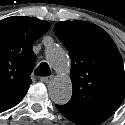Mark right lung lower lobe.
Segmentation results:
<instances>
[{
	"instance_id": "right-lung-lower-lobe-1",
	"label": "right lung lower lobe",
	"mask_w": 125,
	"mask_h": 125,
	"mask_svg": "<svg viewBox=\"0 0 125 125\" xmlns=\"http://www.w3.org/2000/svg\"><path fill=\"white\" fill-rule=\"evenodd\" d=\"M12 108V107H11ZM10 109V108H9ZM5 110H7V109H3V110H1L0 112H3V111H5Z\"/></svg>"
}]
</instances>
